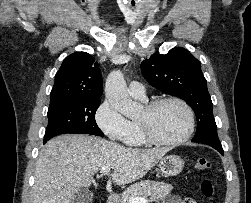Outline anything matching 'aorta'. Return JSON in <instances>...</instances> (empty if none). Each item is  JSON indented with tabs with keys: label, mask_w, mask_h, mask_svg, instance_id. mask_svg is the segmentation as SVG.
Listing matches in <instances>:
<instances>
[{
	"label": "aorta",
	"mask_w": 251,
	"mask_h": 203,
	"mask_svg": "<svg viewBox=\"0 0 251 203\" xmlns=\"http://www.w3.org/2000/svg\"><path fill=\"white\" fill-rule=\"evenodd\" d=\"M105 95L110 104L127 118H134L139 114L140 106L129 97L126 82L120 70H114L108 75Z\"/></svg>",
	"instance_id": "aorta-1"
}]
</instances>
